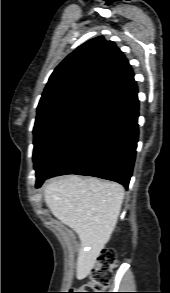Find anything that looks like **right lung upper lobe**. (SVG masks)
Returning <instances> with one entry per match:
<instances>
[{
  "label": "right lung upper lobe",
  "instance_id": "obj_1",
  "mask_svg": "<svg viewBox=\"0 0 170 293\" xmlns=\"http://www.w3.org/2000/svg\"><path fill=\"white\" fill-rule=\"evenodd\" d=\"M137 91L123 53L102 36L69 54L54 70L37 107L35 124L78 104L109 107Z\"/></svg>",
  "mask_w": 170,
  "mask_h": 293
}]
</instances>
